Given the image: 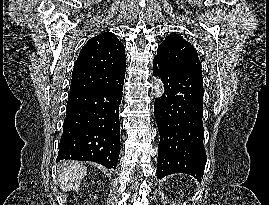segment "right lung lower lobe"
I'll list each match as a JSON object with an SVG mask.
<instances>
[{"instance_id":"right-lung-lower-lobe-1","label":"right lung lower lobe","mask_w":269,"mask_h":205,"mask_svg":"<svg viewBox=\"0 0 269 205\" xmlns=\"http://www.w3.org/2000/svg\"><path fill=\"white\" fill-rule=\"evenodd\" d=\"M124 77L115 85L69 94L57 161H93L116 168Z\"/></svg>"}]
</instances>
